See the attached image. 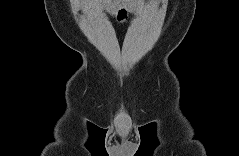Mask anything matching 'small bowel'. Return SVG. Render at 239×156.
I'll return each instance as SVG.
<instances>
[{
	"label": "small bowel",
	"instance_id": "c3829d8e",
	"mask_svg": "<svg viewBox=\"0 0 239 156\" xmlns=\"http://www.w3.org/2000/svg\"><path fill=\"white\" fill-rule=\"evenodd\" d=\"M99 4L103 10L115 15L119 23H124L130 15L139 14L144 3L141 0H105Z\"/></svg>",
	"mask_w": 239,
	"mask_h": 156
}]
</instances>
